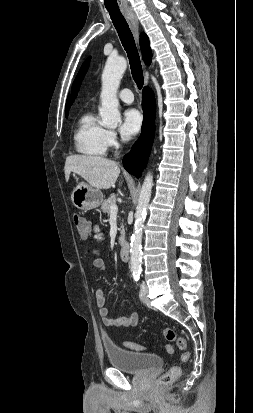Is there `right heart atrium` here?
<instances>
[{"label":"right heart atrium","instance_id":"right-heart-atrium-1","mask_svg":"<svg viewBox=\"0 0 253 413\" xmlns=\"http://www.w3.org/2000/svg\"><path fill=\"white\" fill-rule=\"evenodd\" d=\"M106 141H107L108 147L116 146L117 143H118L116 133L114 131L107 130V132H106Z\"/></svg>","mask_w":253,"mask_h":413}]
</instances>
